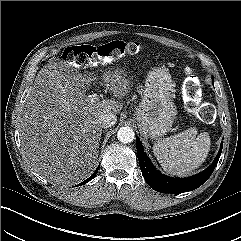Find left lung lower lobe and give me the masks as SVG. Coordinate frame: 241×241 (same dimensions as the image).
<instances>
[{
  "label": "left lung lower lobe",
  "mask_w": 241,
  "mask_h": 241,
  "mask_svg": "<svg viewBox=\"0 0 241 241\" xmlns=\"http://www.w3.org/2000/svg\"><path fill=\"white\" fill-rule=\"evenodd\" d=\"M136 143L141 172L147 184L155 191L172 194L192 191L193 189H196L204 184L213 173L220 158L223 147L222 142L218 155L206 170L192 177L180 179L165 176L157 171L144 152L143 146L138 138Z\"/></svg>",
  "instance_id": "obj_1"
}]
</instances>
